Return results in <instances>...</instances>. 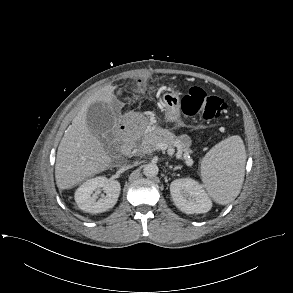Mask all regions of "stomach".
<instances>
[{"label":"stomach","instance_id":"obj_1","mask_svg":"<svg viewBox=\"0 0 293 293\" xmlns=\"http://www.w3.org/2000/svg\"><path fill=\"white\" fill-rule=\"evenodd\" d=\"M164 119L166 122L178 121L180 118V97L177 92L164 93L162 96Z\"/></svg>","mask_w":293,"mask_h":293}]
</instances>
